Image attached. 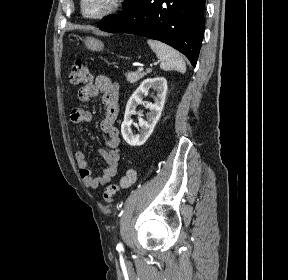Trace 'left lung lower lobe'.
<instances>
[{"label":"left lung lower lobe","mask_w":288,"mask_h":280,"mask_svg":"<svg viewBox=\"0 0 288 280\" xmlns=\"http://www.w3.org/2000/svg\"><path fill=\"white\" fill-rule=\"evenodd\" d=\"M205 0H135L98 23L107 32H125L162 41L196 65L204 34Z\"/></svg>","instance_id":"obj_1"}]
</instances>
